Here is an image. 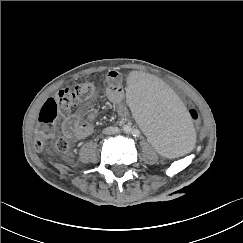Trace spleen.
Masks as SVG:
<instances>
[{
	"instance_id": "spleen-1",
	"label": "spleen",
	"mask_w": 243,
	"mask_h": 243,
	"mask_svg": "<svg viewBox=\"0 0 243 243\" xmlns=\"http://www.w3.org/2000/svg\"><path fill=\"white\" fill-rule=\"evenodd\" d=\"M125 100L160 154L178 157L192 147L194 131L184 103L156 77H135L127 85Z\"/></svg>"
}]
</instances>
